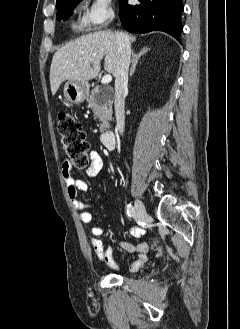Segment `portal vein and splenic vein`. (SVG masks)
Masks as SVG:
<instances>
[{"label":"portal vein and splenic vein","mask_w":240,"mask_h":329,"mask_svg":"<svg viewBox=\"0 0 240 329\" xmlns=\"http://www.w3.org/2000/svg\"><path fill=\"white\" fill-rule=\"evenodd\" d=\"M112 81V76L111 75H105L103 78H102V81L101 83L102 84H108Z\"/></svg>","instance_id":"1"}]
</instances>
